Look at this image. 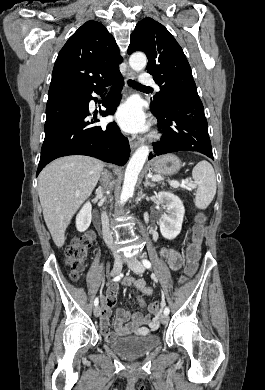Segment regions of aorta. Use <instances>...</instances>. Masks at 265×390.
<instances>
[{
  "mask_svg": "<svg viewBox=\"0 0 265 390\" xmlns=\"http://www.w3.org/2000/svg\"><path fill=\"white\" fill-rule=\"evenodd\" d=\"M129 65L136 72L143 70L147 65L146 55L140 52L132 54L129 58ZM149 151L148 146H140L130 159L125 171L124 183L120 195L121 204L133 196L138 175L148 158Z\"/></svg>",
  "mask_w": 265,
  "mask_h": 390,
  "instance_id": "obj_1",
  "label": "aorta"
}]
</instances>
